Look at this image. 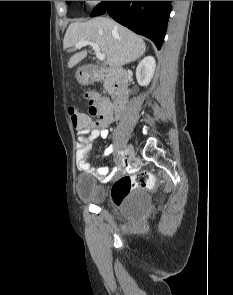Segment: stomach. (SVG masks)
Listing matches in <instances>:
<instances>
[{
	"mask_svg": "<svg viewBox=\"0 0 233 295\" xmlns=\"http://www.w3.org/2000/svg\"><path fill=\"white\" fill-rule=\"evenodd\" d=\"M76 78L79 83H88L91 81L92 76L89 72L86 71L84 67H81L76 72Z\"/></svg>",
	"mask_w": 233,
	"mask_h": 295,
	"instance_id": "obj_1",
	"label": "stomach"
}]
</instances>
